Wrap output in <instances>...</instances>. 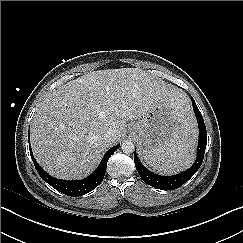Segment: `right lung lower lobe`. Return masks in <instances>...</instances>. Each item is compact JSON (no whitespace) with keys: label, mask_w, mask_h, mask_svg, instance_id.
<instances>
[{"label":"right lung lower lobe","mask_w":243,"mask_h":243,"mask_svg":"<svg viewBox=\"0 0 243 243\" xmlns=\"http://www.w3.org/2000/svg\"><path fill=\"white\" fill-rule=\"evenodd\" d=\"M119 146L120 145H116L107 151V153L104 155L96 171L93 174H91L89 177L79 181H65L50 176L39 166V164L36 162L32 154L31 146L29 142L30 155L33 160L34 166L38 174L41 176V178L56 190L62 192L65 195L74 196V197L81 196L92 191L95 187H97L102 182L106 172L108 159L118 149Z\"/></svg>","instance_id":"98d812e1"}]
</instances>
